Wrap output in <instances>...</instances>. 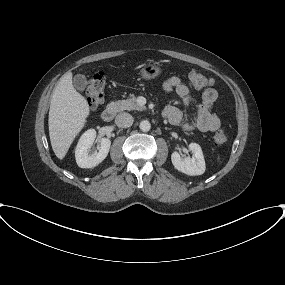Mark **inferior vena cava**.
Here are the masks:
<instances>
[{"label": "inferior vena cava", "mask_w": 285, "mask_h": 285, "mask_svg": "<svg viewBox=\"0 0 285 285\" xmlns=\"http://www.w3.org/2000/svg\"><path fill=\"white\" fill-rule=\"evenodd\" d=\"M133 122L134 119L129 113H120L115 118V124L119 128H128L132 126Z\"/></svg>", "instance_id": "obj_1"}]
</instances>
